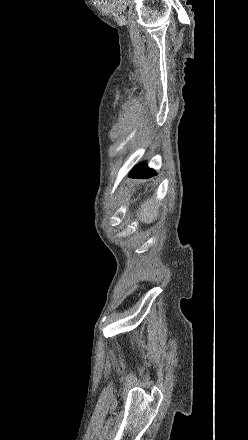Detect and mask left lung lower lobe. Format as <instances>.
<instances>
[{"label":"left lung lower lobe","mask_w":248,"mask_h":440,"mask_svg":"<svg viewBox=\"0 0 248 440\" xmlns=\"http://www.w3.org/2000/svg\"><path fill=\"white\" fill-rule=\"evenodd\" d=\"M156 173L152 170L149 169L146 166V163H141L138 164L129 174L130 177L132 178H149L152 177L153 175H155Z\"/></svg>","instance_id":"left-lung-lower-lobe-1"}]
</instances>
